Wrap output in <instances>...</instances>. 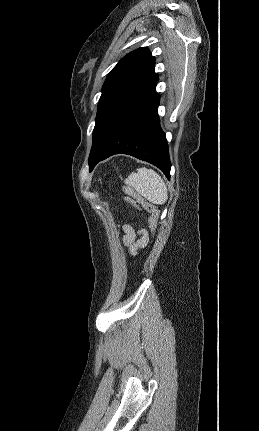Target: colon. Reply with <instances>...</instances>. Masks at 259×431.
Here are the masks:
<instances>
[{
	"instance_id": "colon-1",
	"label": "colon",
	"mask_w": 259,
	"mask_h": 431,
	"mask_svg": "<svg viewBox=\"0 0 259 431\" xmlns=\"http://www.w3.org/2000/svg\"><path fill=\"white\" fill-rule=\"evenodd\" d=\"M125 200L130 203L139 204L149 214V227L153 233L156 232L158 226V214L159 210L156 205L149 202L147 199L138 194L133 188L124 186Z\"/></svg>"
}]
</instances>
